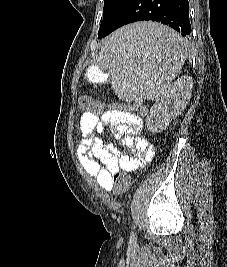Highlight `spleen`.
Returning <instances> with one entry per match:
<instances>
[{"instance_id": "spleen-1", "label": "spleen", "mask_w": 227, "mask_h": 267, "mask_svg": "<svg viewBox=\"0 0 227 267\" xmlns=\"http://www.w3.org/2000/svg\"><path fill=\"white\" fill-rule=\"evenodd\" d=\"M98 42L101 55H107V67L120 96L137 94L149 99L164 94L181 72L187 58V45L181 35L155 19H136L121 25L116 33Z\"/></svg>"}]
</instances>
